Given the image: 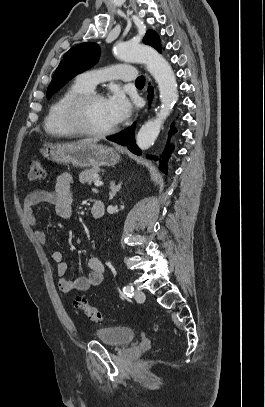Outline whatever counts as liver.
I'll use <instances>...</instances> for the list:
<instances>
[{"label":"liver","mask_w":265,"mask_h":407,"mask_svg":"<svg viewBox=\"0 0 265 407\" xmlns=\"http://www.w3.org/2000/svg\"><path fill=\"white\" fill-rule=\"evenodd\" d=\"M92 142H97V140H93V139H83V140H80V141L77 142V143H92Z\"/></svg>","instance_id":"6515ba94"}]
</instances>
